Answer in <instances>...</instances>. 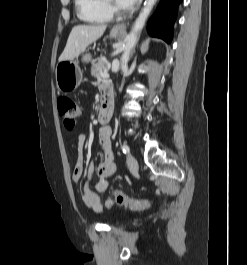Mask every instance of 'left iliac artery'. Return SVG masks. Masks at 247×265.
<instances>
[{
  "instance_id": "left-iliac-artery-1",
  "label": "left iliac artery",
  "mask_w": 247,
  "mask_h": 265,
  "mask_svg": "<svg viewBox=\"0 0 247 265\" xmlns=\"http://www.w3.org/2000/svg\"><path fill=\"white\" fill-rule=\"evenodd\" d=\"M121 149L124 154L129 153V147L126 144H123Z\"/></svg>"
}]
</instances>
